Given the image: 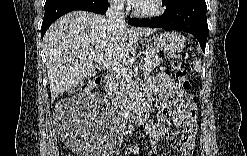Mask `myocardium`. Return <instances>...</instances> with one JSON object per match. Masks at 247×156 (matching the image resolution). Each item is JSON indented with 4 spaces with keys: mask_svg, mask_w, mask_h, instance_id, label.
<instances>
[{
    "mask_svg": "<svg viewBox=\"0 0 247 156\" xmlns=\"http://www.w3.org/2000/svg\"><path fill=\"white\" fill-rule=\"evenodd\" d=\"M130 10L133 16L137 18L148 19L160 15L163 12L164 7L161 0H153L151 8L148 10L143 11L137 5H132Z\"/></svg>",
    "mask_w": 247,
    "mask_h": 156,
    "instance_id": "1",
    "label": "myocardium"
}]
</instances>
